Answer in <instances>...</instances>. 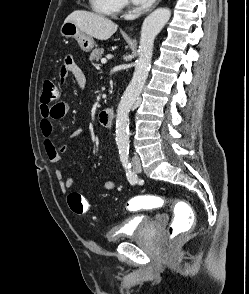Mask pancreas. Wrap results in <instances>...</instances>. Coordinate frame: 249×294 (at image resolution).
<instances>
[{
	"label": "pancreas",
	"mask_w": 249,
	"mask_h": 294,
	"mask_svg": "<svg viewBox=\"0 0 249 294\" xmlns=\"http://www.w3.org/2000/svg\"><path fill=\"white\" fill-rule=\"evenodd\" d=\"M104 50L102 48H96L90 54L89 60L93 63L94 61H99L101 59Z\"/></svg>",
	"instance_id": "cf45deb5"
}]
</instances>
